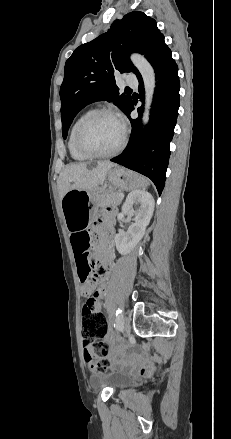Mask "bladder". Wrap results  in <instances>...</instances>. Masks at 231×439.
Listing matches in <instances>:
<instances>
[{"instance_id": "obj_1", "label": "bladder", "mask_w": 231, "mask_h": 439, "mask_svg": "<svg viewBox=\"0 0 231 439\" xmlns=\"http://www.w3.org/2000/svg\"><path fill=\"white\" fill-rule=\"evenodd\" d=\"M133 383L132 376L119 372L101 373L93 377L94 385H106L114 390L130 386Z\"/></svg>"}]
</instances>
